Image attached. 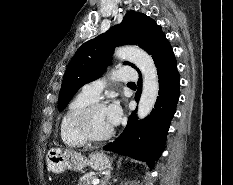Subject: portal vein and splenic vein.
Listing matches in <instances>:
<instances>
[{"label":"portal vein and splenic vein","mask_w":233,"mask_h":185,"mask_svg":"<svg viewBox=\"0 0 233 185\" xmlns=\"http://www.w3.org/2000/svg\"><path fill=\"white\" fill-rule=\"evenodd\" d=\"M99 183H100V180L97 179V178L93 179V181H92V184H93V185H97V184H99Z\"/></svg>","instance_id":"18ae733b"}]
</instances>
